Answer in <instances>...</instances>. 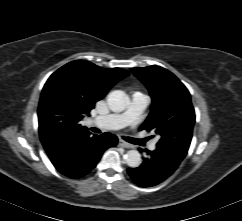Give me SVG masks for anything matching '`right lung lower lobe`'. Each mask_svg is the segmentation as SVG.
<instances>
[{"label": "right lung lower lobe", "mask_w": 242, "mask_h": 221, "mask_svg": "<svg viewBox=\"0 0 242 221\" xmlns=\"http://www.w3.org/2000/svg\"><path fill=\"white\" fill-rule=\"evenodd\" d=\"M116 144L117 137L113 134L90 136L87 132L67 140L58 150L48 155L60 173L76 179L88 174L96 166L103 152Z\"/></svg>", "instance_id": "1"}]
</instances>
